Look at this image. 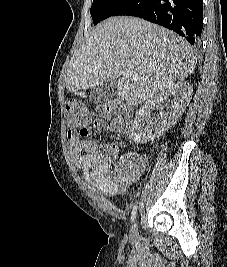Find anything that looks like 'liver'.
Here are the masks:
<instances>
[{
  "mask_svg": "<svg viewBox=\"0 0 227 267\" xmlns=\"http://www.w3.org/2000/svg\"><path fill=\"white\" fill-rule=\"evenodd\" d=\"M195 55L186 40L168 29L139 18L111 17L74 54L65 84L76 92L117 80V98L137 105L191 75ZM126 69L137 77L127 78Z\"/></svg>",
  "mask_w": 227,
  "mask_h": 267,
  "instance_id": "obj_1",
  "label": "liver"
}]
</instances>
